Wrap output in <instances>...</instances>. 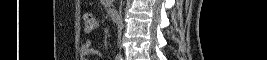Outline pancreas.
I'll use <instances>...</instances> for the list:
<instances>
[{
	"instance_id": "1",
	"label": "pancreas",
	"mask_w": 267,
	"mask_h": 60,
	"mask_svg": "<svg viewBox=\"0 0 267 60\" xmlns=\"http://www.w3.org/2000/svg\"><path fill=\"white\" fill-rule=\"evenodd\" d=\"M104 4L106 7H110L112 5V1L111 0H103Z\"/></svg>"
}]
</instances>
